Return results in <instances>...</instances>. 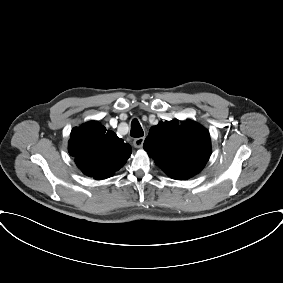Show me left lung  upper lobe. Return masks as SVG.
<instances>
[{"label": "left lung upper lobe", "mask_w": 283, "mask_h": 283, "mask_svg": "<svg viewBox=\"0 0 283 283\" xmlns=\"http://www.w3.org/2000/svg\"><path fill=\"white\" fill-rule=\"evenodd\" d=\"M143 147L168 176L179 180L200 172L211 154L209 132L190 120L159 122Z\"/></svg>", "instance_id": "1"}]
</instances>
